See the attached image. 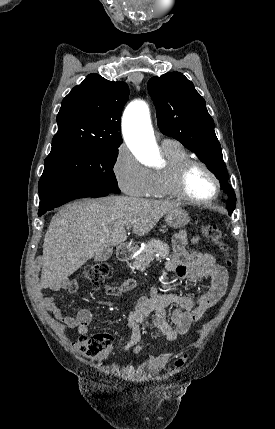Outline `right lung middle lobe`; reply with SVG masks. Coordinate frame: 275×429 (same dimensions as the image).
<instances>
[{
  "instance_id": "right-lung-middle-lobe-1",
  "label": "right lung middle lobe",
  "mask_w": 275,
  "mask_h": 429,
  "mask_svg": "<svg viewBox=\"0 0 275 429\" xmlns=\"http://www.w3.org/2000/svg\"><path fill=\"white\" fill-rule=\"evenodd\" d=\"M118 147L64 148L51 151L39 180V198L86 189L120 193L113 172Z\"/></svg>"
}]
</instances>
